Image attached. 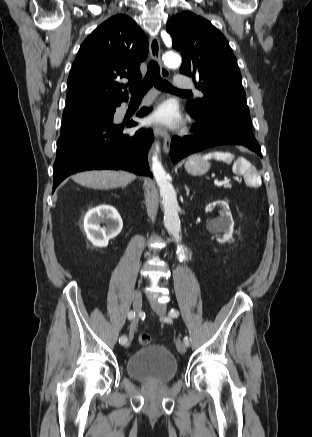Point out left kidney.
<instances>
[{
  "label": "left kidney",
  "instance_id": "5707ae66",
  "mask_svg": "<svg viewBox=\"0 0 312 437\" xmlns=\"http://www.w3.org/2000/svg\"><path fill=\"white\" fill-rule=\"evenodd\" d=\"M220 205V216L209 222L213 233H223L222 237L217 239L219 243H225L232 239L234 222L228 204L223 200L210 203L206 206V212L210 211L212 206Z\"/></svg>",
  "mask_w": 312,
  "mask_h": 437
}]
</instances>
